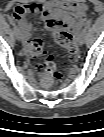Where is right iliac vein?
Instances as JSON below:
<instances>
[{"label":"right iliac vein","instance_id":"obj_1","mask_svg":"<svg viewBox=\"0 0 104 137\" xmlns=\"http://www.w3.org/2000/svg\"><path fill=\"white\" fill-rule=\"evenodd\" d=\"M14 35L18 41L22 40V34L21 31L16 27L14 28Z\"/></svg>","mask_w":104,"mask_h":137}]
</instances>
